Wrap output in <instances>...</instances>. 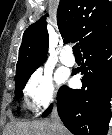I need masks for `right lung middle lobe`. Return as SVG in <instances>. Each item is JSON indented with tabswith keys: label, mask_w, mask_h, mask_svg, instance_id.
I'll return each instance as SVG.
<instances>
[{
	"label": "right lung middle lobe",
	"mask_w": 112,
	"mask_h": 135,
	"mask_svg": "<svg viewBox=\"0 0 112 135\" xmlns=\"http://www.w3.org/2000/svg\"><path fill=\"white\" fill-rule=\"evenodd\" d=\"M30 75H31V73L15 77V97H16V99H19L23 96L22 89L24 88Z\"/></svg>",
	"instance_id": "1"
}]
</instances>
